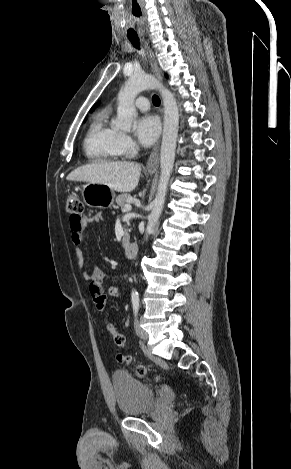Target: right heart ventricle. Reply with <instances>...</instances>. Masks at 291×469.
Wrapping results in <instances>:
<instances>
[{
    "mask_svg": "<svg viewBox=\"0 0 291 469\" xmlns=\"http://www.w3.org/2000/svg\"><path fill=\"white\" fill-rule=\"evenodd\" d=\"M110 109L103 108L92 118L83 141L86 157L92 161L117 160L122 151L120 132L110 123Z\"/></svg>",
    "mask_w": 291,
    "mask_h": 469,
    "instance_id": "right-heart-ventricle-1",
    "label": "right heart ventricle"
}]
</instances>
